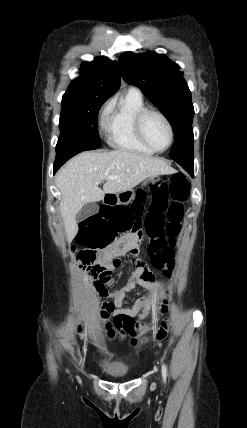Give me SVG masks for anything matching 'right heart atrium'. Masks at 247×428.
<instances>
[{"instance_id":"1","label":"right heart atrium","mask_w":247,"mask_h":428,"mask_svg":"<svg viewBox=\"0 0 247 428\" xmlns=\"http://www.w3.org/2000/svg\"><path fill=\"white\" fill-rule=\"evenodd\" d=\"M107 110H108V108H107V107H106V108H104V110H103V115H105V114H106Z\"/></svg>"}]
</instances>
